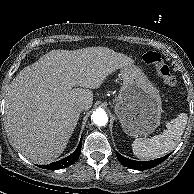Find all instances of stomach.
<instances>
[{
  "instance_id": "0dacf381",
  "label": "stomach",
  "mask_w": 194,
  "mask_h": 194,
  "mask_svg": "<svg viewBox=\"0 0 194 194\" xmlns=\"http://www.w3.org/2000/svg\"><path fill=\"white\" fill-rule=\"evenodd\" d=\"M119 76L123 84L114 111L123 131L134 137L150 135L161 121L162 100L159 91L134 65L120 68Z\"/></svg>"
}]
</instances>
